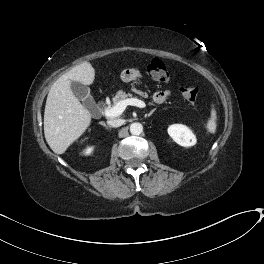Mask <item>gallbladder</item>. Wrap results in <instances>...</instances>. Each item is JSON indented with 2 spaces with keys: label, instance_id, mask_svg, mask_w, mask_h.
<instances>
[{
  "label": "gallbladder",
  "instance_id": "obj_1",
  "mask_svg": "<svg viewBox=\"0 0 264 264\" xmlns=\"http://www.w3.org/2000/svg\"><path fill=\"white\" fill-rule=\"evenodd\" d=\"M71 89L76 98L83 102L85 108L92 110L95 107V101L90 95V90L86 85L80 82L72 81Z\"/></svg>",
  "mask_w": 264,
  "mask_h": 264
}]
</instances>
